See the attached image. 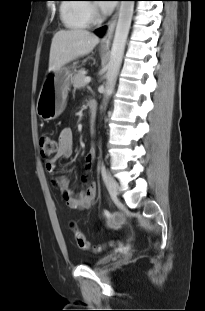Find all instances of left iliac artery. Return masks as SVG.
Returning <instances> with one entry per match:
<instances>
[{
	"mask_svg": "<svg viewBox=\"0 0 205 311\" xmlns=\"http://www.w3.org/2000/svg\"><path fill=\"white\" fill-rule=\"evenodd\" d=\"M101 174H102L103 179L105 180L107 177V170H106L105 165L103 163L101 164Z\"/></svg>",
	"mask_w": 205,
	"mask_h": 311,
	"instance_id": "left-iliac-artery-1",
	"label": "left iliac artery"
}]
</instances>
